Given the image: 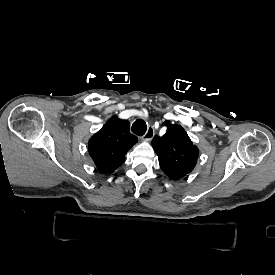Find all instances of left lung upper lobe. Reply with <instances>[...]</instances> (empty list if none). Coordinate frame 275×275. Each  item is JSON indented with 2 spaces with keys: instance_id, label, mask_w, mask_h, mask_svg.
<instances>
[{
  "instance_id": "left-lung-upper-lobe-1",
  "label": "left lung upper lobe",
  "mask_w": 275,
  "mask_h": 275,
  "mask_svg": "<svg viewBox=\"0 0 275 275\" xmlns=\"http://www.w3.org/2000/svg\"><path fill=\"white\" fill-rule=\"evenodd\" d=\"M164 125L167 126L165 134L155 136L152 146L163 172L173 179H180L194 169L199 150L180 125L169 121Z\"/></svg>"
}]
</instances>
